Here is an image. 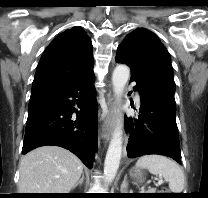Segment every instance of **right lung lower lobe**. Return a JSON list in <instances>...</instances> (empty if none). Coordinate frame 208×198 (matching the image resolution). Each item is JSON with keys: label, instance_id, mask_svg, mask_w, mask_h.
Wrapping results in <instances>:
<instances>
[{"label": "right lung lower lobe", "instance_id": "right-lung-lower-lobe-1", "mask_svg": "<svg viewBox=\"0 0 208 198\" xmlns=\"http://www.w3.org/2000/svg\"><path fill=\"white\" fill-rule=\"evenodd\" d=\"M45 145L68 149L92 168L97 147L93 72L66 89L30 98L23 154Z\"/></svg>", "mask_w": 208, "mask_h": 198}]
</instances>
